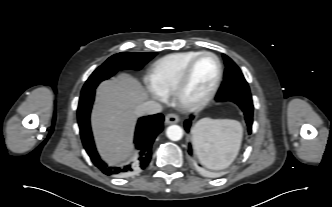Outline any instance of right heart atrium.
<instances>
[{"mask_svg":"<svg viewBox=\"0 0 332 207\" xmlns=\"http://www.w3.org/2000/svg\"><path fill=\"white\" fill-rule=\"evenodd\" d=\"M152 95L154 96V98H156L157 100L163 101L165 99V96L161 95L160 93H158L157 91H152Z\"/></svg>","mask_w":332,"mask_h":207,"instance_id":"1","label":"right heart atrium"}]
</instances>
